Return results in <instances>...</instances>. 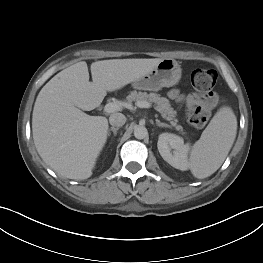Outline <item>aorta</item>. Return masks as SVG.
<instances>
[{
  "instance_id": "obj_1",
  "label": "aorta",
  "mask_w": 263,
  "mask_h": 263,
  "mask_svg": "<svg viewBox=\"0 0 263 263\" xmlns=\"http://www.w3.org/2000/svg\"><path fill=\"white\" fill-rule=\"evenodd\" d=\"M134 136L137 139H144L148 136V131L145 126H136L134 128Z\"/></svg>"
}]
</instances>
